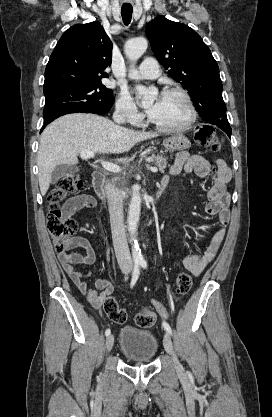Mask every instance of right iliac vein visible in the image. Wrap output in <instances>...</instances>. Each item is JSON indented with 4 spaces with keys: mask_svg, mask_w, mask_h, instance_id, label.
Returning a JSON list of instances; mask_svg holds the SVG:
<instances>
[{
    "mask_svg": "<svg viewBox=\"0 0 272 417\" xmlns=\"http://www.w3.org/2000/svg\"><path fill=\"white\" fill-rule=\"evenodd\" d=\"M114 344V336L110 334L106 339V349L107 352H110Z\"/></svg>",
    "mask_w": 272,
    "mask_h": 417,
    "instance_id": "1",
    "label": "right iliac vein"
}]
</instances>
